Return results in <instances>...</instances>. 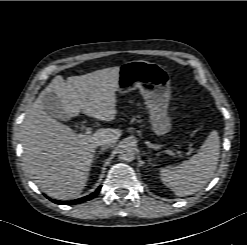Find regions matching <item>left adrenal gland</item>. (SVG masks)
Returning a JSON list of instances; mask_svg holds the SVG:
<instances>
[{"label": "left adrenal gland", "instance_id": "a2214340", "mask_svg": "<svg viewBox=\"0 0 247 245\" xmlns=\"http://www.w3.org/2000/svg\"><path fill=\"white\" fill-rule=\"evenodd\" d=\"M151 162H152V160L151 159H149V163L151 164Z\"/></svg>", "mask_w": 247, "mask_h": 245}]
</instances>
